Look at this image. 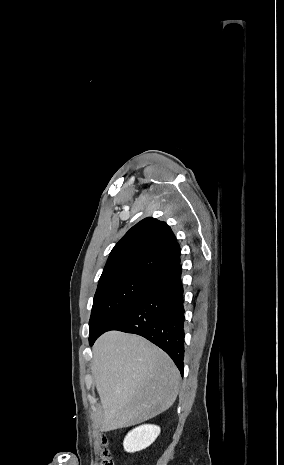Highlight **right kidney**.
I'll return each instance as SVG.
<instances>
[{"label": "right kidney", "instance_id": "1", "mask_svg": "<svg viewBox=\"0 0 284 465\" xmlns=\"http://www.w3.org/2000/svg\"><path fill=\"white\" fill-rule=\"evenodd\" d=\"M160 435V427L157 425H141L130 431L123 441V447L127 453L142 451L154 443Z\"/></svg>", "mask_w": 284, "mask_h": 465}]
</instances>
